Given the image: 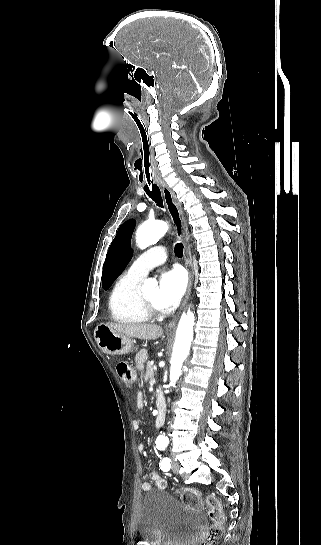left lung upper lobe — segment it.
Returning a JSON list of instances; mask_svg holds the SVG:
<instances>
[{
	"label": "left lung upper lobe",
	"instance_id": "1",
	"mask_svg": "<svg viewBox=\"0 0 321 545\" xmlns=\"http://www.w3.org/2000/svg\"><path fill=\"white\" fill-rule=\"evenodd\" d=\"M136 225L134 219L123 223L112 241L104 263L102 287L108 290L115 279L125 269L132 257L131 236Z\"/></svg>",
	"mask_w": 321,
	"mask_h": 545
}]
</instances>
